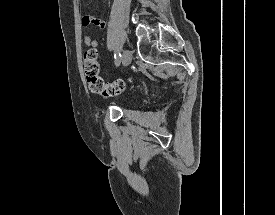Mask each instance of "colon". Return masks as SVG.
I'll return each instance as SVG.
<instances>
[{"instance_id":"obj_1","label":"colon","mask_w":275,"mask_h":215,"mask_svg":"<svg viewBox=\"0 0 275 215\" xmlns=\"http://www.w3.org/2000/svg\"><path fill=\"white\" fill-rule=\"evenodd\" d=\"M83 67L90 90L104 97L120 94L126 85V81L118 79L113 82H105L99 74V61L97 51L90 48L83 55Z\"/></svg>"}]
</instances>
